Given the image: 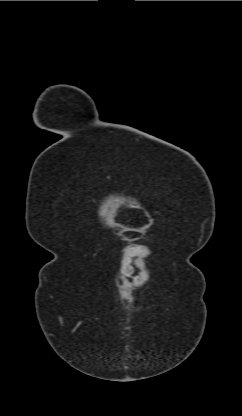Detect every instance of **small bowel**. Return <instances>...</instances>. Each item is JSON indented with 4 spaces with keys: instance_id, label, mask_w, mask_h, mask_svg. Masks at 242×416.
I'll use <instances>...</instances> for the list:
<instances>
[{
    "instance_id": "small-bowel-1",
    "label": "small bowel",
    "mask_w": 242,
    "mask_h": 416,
    "mask_svg": "<svg viewBox=\"0 0 242 416\" xmlns=\"http://www.w3.org/2000/svg\"><path fill=\"white\" fill-rule=\"evenodd\" d=\"M140 254L141 252L139 251H131L127 253L122 266L123 274L137 284L142 283L146 278V273L140 265Z\"/></svg>"
}]
</instances>
